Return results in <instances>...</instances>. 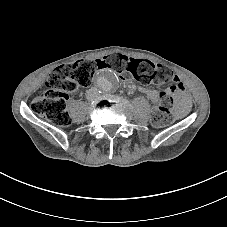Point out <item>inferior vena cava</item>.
Listing matches in <instances>:
<instances>
[{
	"label": "inferior vena cava",
	"mask_w": 227,
	"mask_h": 227,
	"mask_svg": "<svg viewBox=\"0 0 227 227\" xmlns=\"http://www.w3.org/2000/svg\"><path fill=\"white\" fill-rule=\"evenodd\" d=\"M99 97V91L96 89V88H91L89 89L88 91V95H87V98L88 99H97Z\"/></svg>",
	"instance_id": "602c4592"
}]
</instances>
